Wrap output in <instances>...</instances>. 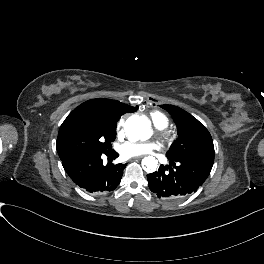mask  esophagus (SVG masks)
Here are the masks:
<instances>
[{
    "instance_id": "1",
    "label": "esophagus",
    "mask_w": 264,
    "mask_h": 264,
    "mask_svg": "<svg viewBox=\"0 0 264 264\" xmlns=\"http://www.w3.org/2000/svg\"><path fill=\"white\" fill-rule=\"evenodd\" d=\"M140 157H134L133 160L138 161Z\"/></svg>"
}]
</instances>
